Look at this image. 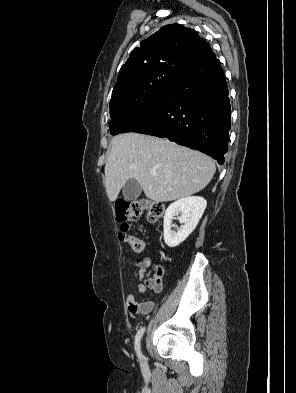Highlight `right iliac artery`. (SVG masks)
I'll return each mask as SVG.
<instances>
[{"instance_id":"right-iliac-artery-1","label":"right iliac artery","mask_w":296,"mask_h":393,"mask_svg":"<svg viewBox=\"0 0 296 393\" xmlns=\"http://www.w3.org/2000/svg\"><path fill=\"white\" fill-rule=\"evenodd\" d=\"M144 331H145V327H142L140 330H138L135 336V351L140 359L142 358L141 349H140V340Z\"/></svg>"}]
</instances>
